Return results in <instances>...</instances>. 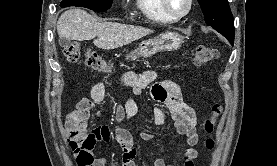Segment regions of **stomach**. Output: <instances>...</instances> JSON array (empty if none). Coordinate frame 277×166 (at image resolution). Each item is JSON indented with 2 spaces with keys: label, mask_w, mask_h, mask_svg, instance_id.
I'll return each instance as SVG.
<instances>
[{
  "label": "stomach",
  "mask_w": 277,
  "mask_h": 166,
  "mask_svg": "<svg viewBox=\"0 0 277 166\" xmlns=\"http://www.w3.org/2000/svg\"><path fill=\"white\" fill-rule=\"evenodd\" d=\"M183 38L176 32H165L154 39L142 41L139 47L129 53L127 60L135 61L138 58H149L161 51H173L181 47Z\"/></svg>",
  "instance_id": "obj_1"
}]
</instances>
